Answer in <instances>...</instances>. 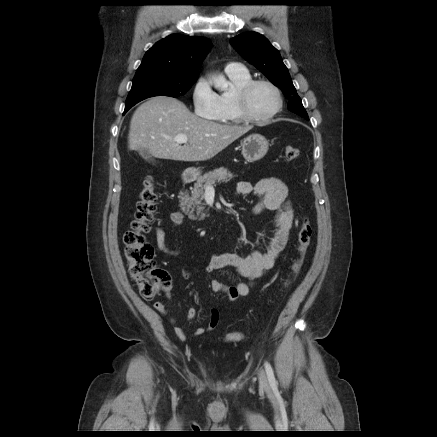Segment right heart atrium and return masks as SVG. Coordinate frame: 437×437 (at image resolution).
Here are the masks:
<instances>
[{
	"mask_svg": "<svg viewBox=\"0 0 437 437\" xmlns=\"http://www.w3.org/2000/svg\"><path fill=\"white\" fill-rule=\"evenodd\" d=\"M192 104L195 114L202 118L215 119L218 116V96L204 79H199L193 87Z\"/></svg>",
	"mask_w": 437,
	"mask_h": 437,
	"instance_id": "right-heart-atrium-1",
	"label": "right heart atrium"
}]
</instances>
